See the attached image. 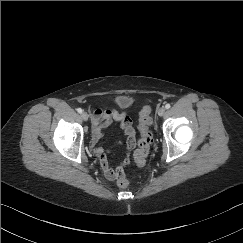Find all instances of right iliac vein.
<instances>
[{
	"label": "right iliac vein",
	"instance_id": "63e3f726",
	"mask_svg": "<svg viewBox=\"0 0 243 243\" xmlns=\"http://www.w3.org/2000/svg\"><path fill=\"white\" fill-rule=\"evenodd\" d=\"M81 117H82V119H83L84 121H87L88 118H89V115H88L86 112H83V113L81 114Z\"/></svg>",
	"mask_w": 243,
	"mask_h": 243
}]
</instances>
